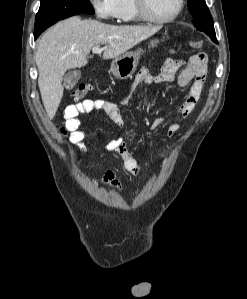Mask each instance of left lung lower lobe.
<instances>
[{
  "mask_svg": "<svg viewBox=\"0 0 247 299\" xmlns=\"http://www.w3.org/2000/svg\"><path fill=\"white\" fill-rule=\"evenodd\" d=\"M213 42H215V43H218V41L217 40H212Z\"/></svg>",
  "mask_w": 247,
  "mask_h": 299,
  "instance_id": "obj_1",
  "label": "left lung lower lobe"
}]
</instances>
